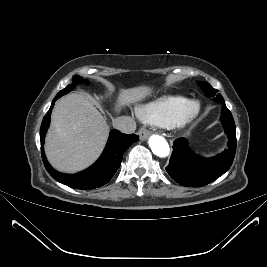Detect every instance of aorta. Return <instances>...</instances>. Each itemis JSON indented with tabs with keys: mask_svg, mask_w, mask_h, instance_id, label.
I'll list each match as a JSON object with an SVG mask.
<instances>
[{
	"mask_svg": "<svg viewBox=\"0 0 267 267\" xmlns=\"http://www.w3.org/2000/svg\"><path fill=\"white\" fill-rule=\"evenodd\" d=\"M148 143H149V146L152 152L156 156L160 158H165L169 155V152H170L169 144L162 136L152 135L149 138Z\"/></svg>",
	"mask_w": 267,
	"mask_h": 267,
	"instance_id": "1",
	"label": "aorta"
}]
</instances>
